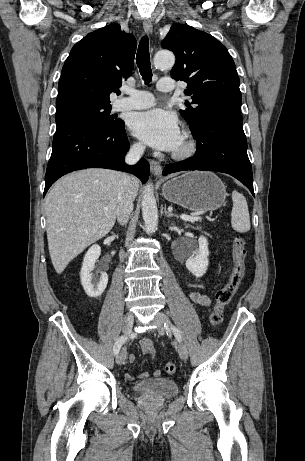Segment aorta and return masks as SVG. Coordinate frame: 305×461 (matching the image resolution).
I'll list each match as a JSON object with an SVG mask.
<instances>
[{"mask_svg": "<svg viewBox=\"0 0 305 461\" xmlns=\"http://www.w3.org/2000/svg\"><path fill=\"white\" fill-rule=\"evenodd\" d=\"M174 63L175 56L169 51H160L155 54L154 65L156 68H171ZM141 205L145 231L147 234H152L157 229L158 209L151 183H148L143 190Z\"/></svg>", "mask_w": 305, "mask_h": 461, "instance_id": "1", "label": "aorta"}]
</instances>
